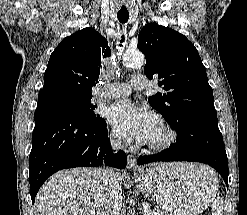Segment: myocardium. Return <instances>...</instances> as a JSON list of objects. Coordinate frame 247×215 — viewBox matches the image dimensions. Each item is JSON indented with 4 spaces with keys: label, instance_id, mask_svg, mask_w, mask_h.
<instances>
[{
    "label": "myocardium",
    "instance_id": "1",
    "mask_svg": "<svg viewBox=\"0 0 247 215\" xmlns=\"http://www.w3.org/2000/svg\"><path fill=\"white\" fill-rule=\"evenodd\" d=\"M158 127L161 131V138L154 142L145 143V148L153 153H159L169 149L176 140V132L168 123L159 121Z\"/></svg>",
    "mask_w": 247,
    "mask_h": 215
}]
</instances>
